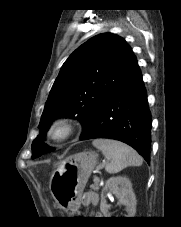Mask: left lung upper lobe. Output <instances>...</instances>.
<instances>
[{
  "label": "left lung upper lobe",
  "instance_id": "5c2ea615",
  "mask_svg": "<svg viewBox=\"0 0 181 227\" xmlns=\"http://www.w3.org/2000/svg\"><path fill=\"white\" fill-rule=\"evenodd\" d=\"M135 63L125 40L112 33L96 35L77 48L52 86L39 124L40 135L32 143V158L53 150L43 140L56 117L77 115L84 125L82 137L86 135L106 99Z\"/></svg>",
  "mask_w": 181,
  "mask_h": 227
}]
</instances>
